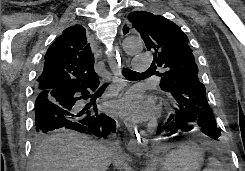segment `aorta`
Returning <instances> with one entry per match:
<instances>
[{
    "label": "aorta",
    "mask_w": 245,
    "mask_h": 171,
    "mask_svg": "<svg viewBox=\"0 0 245 171\" xmlns=\"http://www.w3.org/2000/svg\"><path fill=\"white\" fill-rule=\"evenodd\" d=\"M143 42L139 37H127L123 41V49L127 54H135L142 50Z\"/></svg>",
    "instance_id": "aorta-1"
}]
</instances>
